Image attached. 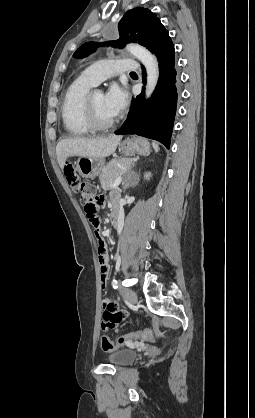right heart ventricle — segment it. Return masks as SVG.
<instances>
[{"instance_id":"1","label":"right heart ventricle","mask_w":255,"mask_h":418,"mask_svg":"<svg viewBox=\"0 0 255 418\" xmlns=\"http://www.w3.org/2000/svg\"><path fill=\"white\" fill-rule=\"evenodd\" d=\"M94 86L81 75L71 83L65 93L61 116L65 130L72 136H84L92 131L84 117V102Z\"/></svg>"}]
</instances>
